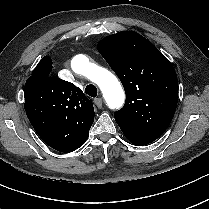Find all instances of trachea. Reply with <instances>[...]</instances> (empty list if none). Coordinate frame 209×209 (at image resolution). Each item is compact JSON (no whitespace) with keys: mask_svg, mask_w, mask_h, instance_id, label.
Wrapping results in <instances>:
<instances>
[{"mask_svg":"<svg viewBox=\"0 0 209 209\" xmlns=\"http://www.w3.org/2000/svg\"><path fill=\"white\" fill-rule=\"evenodd\" d=\"M85 93L88 94L91 97H96L97 96V88L93 84H89L85 88Z\"/></svg>","mask_w":209,"mask_h":209,"instance_id":"3493384b","label":"trachea"}]
</instances>
